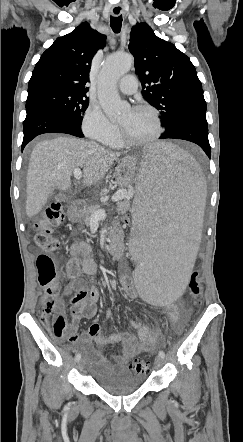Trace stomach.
Wrapping results in <instances>:
<instances>
[{
    "instance_id": "0dacf381",
    "label": "stomach",
    "mask_w": 243,
    "mask_h": 442,
    "mask_svg": "<svg viewBox=\"0 0 243 442\" xmlns=\"http://www.w3.org/2000/svg\"><path fill=\"white\" fill-rule=\"evenodd\" d=\"M137 165V159L131 156L125 157L118 163L115 168L114 177L121 187H125L135 181V177L138 175L136 171ZM69 218L71 220H78L81 218V215L76 210H71L69 211Z\"/></svg>"
}]
</instances>
